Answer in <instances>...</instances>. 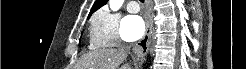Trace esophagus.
Wrapping results in <instances>:
<instances>
[{
	"mask_svg": "<svg viewBox=\"0 0 246 69\" xmlns=\"http://www.w3.org/2000/svg\"><path fill=\"white\" fill-rule=\"evenodd\" d=\"M146 6H147V13H146V20H147V26L145 35L142 40H140L136 45L133 47V52L138 58H143L149 50V47L151 45V35H152V28H153V2L152 0H146Z\"/></svg>",
	"mask_w": 246,
	"mask_h": 69,
	"instance_id": "obj_1",
	"label": "esophagus"
}]
</instances>
